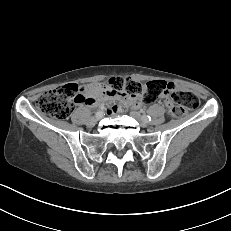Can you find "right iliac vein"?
Returning <instances> with one entry per match:
<instances>
[{
    "mask_svg": "<svg viewBox=\"0 0 231 231\" xmlns=\"http://www.w3.org/2000/svg\"><path fill=\"white\" fill-rule=\"evenodd\" d=\"M103 117V112H100L98 115L95 116V118H93L89 124L90 125H94L98 120H100Z\"/></svg>",
    "mask_w": 231,
    "mask_h": 231,
    "instance_id": "1",
    "label": "right iliac vein"
}]
</instances>
